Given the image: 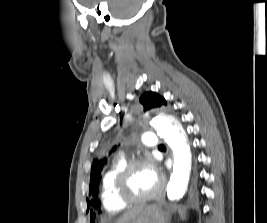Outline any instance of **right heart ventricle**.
<instances>
[{
	"instance_id": "e07e8e85",
	"label": "right heart ventricle",
	"mask_w": 267,
	"mask_h": 223,
	"mask_svg": "<svg viewBox=\"0 0 267 223\" xmlns=\"http://www.w3.org/2000/svg\"><path fill=\"white\" fill-rule=\"evenodd\" d=\"M125 164L124 158H117L103 175L100 197L104 209L108 212H118L125 207V203L116 196L114 191V180Z\"/></svg>"
}]
</instances>
